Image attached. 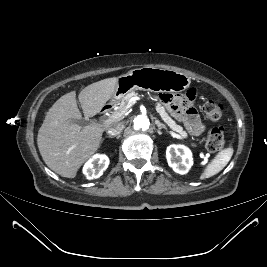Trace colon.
Listing matches in <instances>:
<instances>
[{"mask_svg":"<svg viewBox=\"0 0 267 267\" xmlns=\"http://www.w3.org/2000/svg\"><path fill=\"white\" fill-rule=\"evenodd\" d=\"M202 111L210 121H218L223 113V106L220 102L214 100L206 101L202 106ZM225 146L224 133L222 128L215 127L207 135L206 147L211 152L220 151Z\"/></svg>","mask_w":267,"mask_h":267,"instance_id":"obj_1","label":"colon"}]
</instances>
